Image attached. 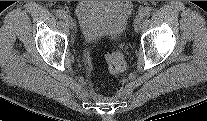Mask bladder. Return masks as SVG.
<instances>
[{
	"label": "bladder",
	"instance_id": "31cf9c89",
	"mask_svg": "<svg viewBox=\"0 0 207 121\" xmlns=\"http://www.w3.org/2000/svg\"><path fill=\"white\" fill-rule=\"evenodd\" d=\"M133 12L131 1H80L76 16L82 39L93 44L120 37Z\"/></svg>",
	"mask_w": 207,
	"mask_h": 121
}]
</instances>
